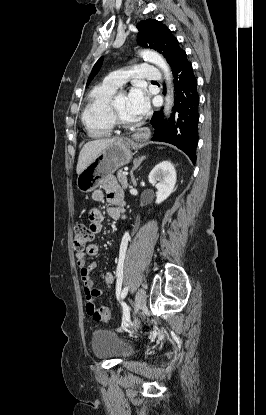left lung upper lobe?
<instances>
[{"mask_svg":"<svg viewBox=\"0 0 266 415\" xmlns=\"http://www.w3.org/2000/svg\"><path fill=\"white\" fill-rule=\"evenodd\" d=\"M139 30L138 43L146 48H152L162 53L173 69L179 57L185 53L179 46L172 32L161 22L154 19L143 20L137 24ZM103 62L101 57L94 65L87 81V86L100 70Z\"/></svg>","mask_w":266,"mask_h":415,"instance_id":"1","label":"left lung upper lobe"}]
</instances>
